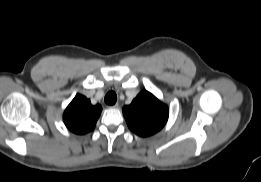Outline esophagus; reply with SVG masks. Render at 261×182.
I'll use <instances>...</instances> for the list:
<instances>
[{"label":"esophagus","instance_id":"1","mask_svg":"<svg viewBox=\"0 0 261 182\" xmlns=\"http://www.w3.org/2000/svg\"><path fill=\"white\" fill-rule=\"evenodd\" d=\"M118 107H119V104H118V103H116V104H114V105L110 106L109 108H114V109H116V108H118Z\"/></svg>","mask_w":261,"mask_h":182}]
</instances>
